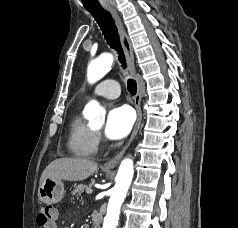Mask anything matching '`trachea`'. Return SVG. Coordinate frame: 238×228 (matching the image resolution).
I'll return each mask as SVG.
<instances>
[{
    "mask_svg": "<svg viewBox=\"0 0 238 228\" xmlns=\"http://www.w3.org/2000/svg\"><path fill=\"white\" fill-rule=\"evenodd\" d=\"M89 12L98 23L108 45L118 52L119 61L121 62L122 66L126 68V60L120 44L118 30L113 18L111 17V14L104 9ZM127 88L131 95H135L137 92L136 81L129 79L127 82Z\"/></svg>",
    "mask_w": 238,
    "mask_h": 228,
    "instance_id": "trachea-1",
    "label": "trachea"
}]
</instances>
